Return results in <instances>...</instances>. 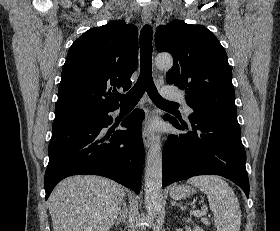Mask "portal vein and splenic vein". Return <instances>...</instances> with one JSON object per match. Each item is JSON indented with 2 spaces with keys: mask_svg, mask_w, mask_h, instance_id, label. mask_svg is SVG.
Here are the masks:
<instances>
[{
  "mask_svg": "<svg viewBox=\"0 0 280 231\" xmlns=\"http://www.w3.org/2000/svg\"><path fill=\"white\" fill-rule=\"evenodd\" d=\"M207 207H204V209H191L190 213L191 215H206Z\"/></svg>",
  "mask_w": 280,
  "mask_h": 231,
  "instance_id": "portal-vein-and-splenic-vein-1",
  "label": "portal vein and splenic vein"
}]
</instances>
